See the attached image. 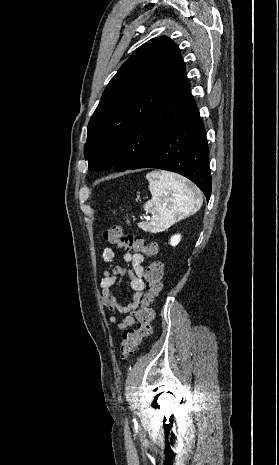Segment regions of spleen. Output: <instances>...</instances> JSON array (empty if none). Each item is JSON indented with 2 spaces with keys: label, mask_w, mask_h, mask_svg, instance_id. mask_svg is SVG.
<instances>
[{
  "label": "spleen",
  "mask_w": 279,
  "mask_h": 465,
  "mask_svg": "<svg viewBox=\"0 0 279 465\" xmlns=\"http://www.w3.org/2000/svg\"><path fill=\"white\" fill-rule=\"evenodd\" d=\"M152 198L144 209L152 214L150 222H142L143 230L159 232L177 221L195 214L202 206L200 190L190 182L167 171H152L146 175Z\"/></svg>",
  "instance_id": "1"
}]
</instances>
